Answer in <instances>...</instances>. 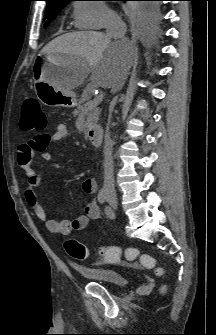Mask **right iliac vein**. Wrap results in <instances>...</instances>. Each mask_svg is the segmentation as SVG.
<instances>
[{"label": "right iliac vein", "instance_id": "63e3f726", "mask_svg": "<svg viewBox=\"0 0 216 335\" xmlns=\"http://www.w3.org/2000/svg\"><path fill=\"white\" fill-rule=\"evenodd\" d=\"M108 199H109L110 203H112V204L116 203L115 199L111 195H108Z\"/></svg>", "mask_w": 216, "mask_h": 335}]
</instances>
